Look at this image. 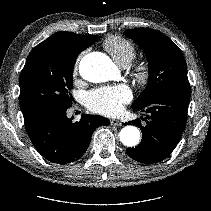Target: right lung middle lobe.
<instances>
[{
  "instance_id": "1",
  "label": "right lung middle lobe",
  "mask_w": 211,
  "mask_h": 211,
  "mask_svg": "<svg viewBox=\"0 0 211 211\" xmlns=\"http://www.w3.org/2000/svg\"><path fill=\"white\" fill-rule=\"evenodd\" d=\"M77 54L61 55L43 43L27 57L20 74L19 104L26 117L46 107H70Z\"/></svg>"
}]
</instances>
